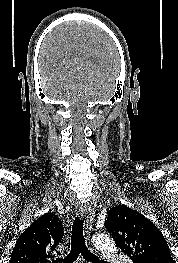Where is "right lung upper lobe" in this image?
I'll list each match as a JSON object with an SVG mask.
<instances>
[{"label":"right lung upper lobe","instance_id":"obj_1","mask_svg":"<svg viewBox=\"0 0 178 263\" xmlns=\"http://www.w3.org/2000/svg\"><path fill=\"white\" fill-rule=\"evenodd\" d=\"M63 235L64 228L56 214L42 215L20 235L13 248L10 263L54 262L56 246Z\"/></svg>","mask_w":178,"mask_h":263}]
</instances>
